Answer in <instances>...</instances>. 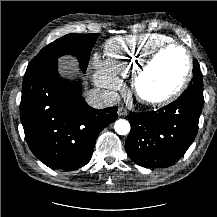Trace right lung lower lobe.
Wrapping results in <instances>:
<instances>
[{
	"label": "right lung lower lobe",
	"instance_id": "98d812e1",
	"mask_svg": "<svg viewBox=\"0 0 217 217\" xmlns=\"http://www.w3.org/2000/svg\"><path fill=\"white\" fill-rule=\"evenodd\" d=\"M57 59L26 72L21 122L32 153L52 169L86 165L99 133L115 121L118 107L94 109L81 96L80 82L60 77Z\"/></svg>",
	"mask_w": 217,
	"mask_h": 217
}]
</instances>
